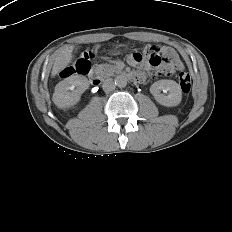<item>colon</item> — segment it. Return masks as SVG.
I'll return each instance as SVG.
<instances>
[{
    "instance_id": "obj_1",
    "label": "colon",
    "mask_w": 232,
    "mask_h": 232,
    "mask_svg": "<svg viewBox=\"0 0 232 232\" xmlns=\"http://www.w3.org/2000/svg\"><path fill=\"white\" fill-rule=\"evenodd\" d=\"M141 53L134 54L135 59H140ZM143 55L148 59L151 65L154 66H168L171 70L177 69L174 64V60L171 56L167 55L161 46H151L144 50ZM95 52L92 50H86L82 52L74 64L66 66L60 73L63 78L80 74L85 75L91 64V60L94 58ZM179 83L183 93L188 94L191 91V78L188 73L181 71L178 74Z\"/></svg>"
}]
</instances>
